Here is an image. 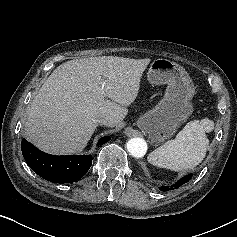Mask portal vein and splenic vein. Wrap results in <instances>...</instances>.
<instances>
[{
    "instance_id": "obj_1",
    "label": "portal vein and splenic vein",
    "mask_w": 237,
    "mask_h": 237,
    "mask_svg": "<svg viewBox=\"0 0 237 237\" xmlns=\"http://www.w3.org/2000/svg\"><path fill=\"white\" fill-rule=\"evenodd\" d=\"M104 85H105V83L103 82V83H102V87H104Z\"/></svg>"
}]
</instances>
